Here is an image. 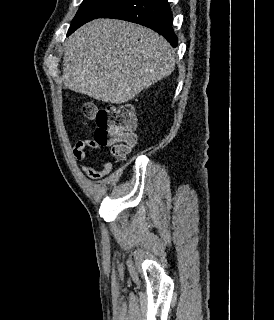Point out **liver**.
<instances>
[{
    "mask_svg": "<svg viewBox=\"0 0 274 320\" xmlns=\"http://www.w3.org/2000/svg\"><path fill=\"white\" fill-rule=\"evenodd\" d=\"M63 58L68 90L124 104L170 76L174 50L162 36L121 20H93L69 36Z\"/></svg>",
    "mask_w": 274,
    "mask_h": 320,
    "instance_id": "1",
    "label": "liver"
}]
</instances>
